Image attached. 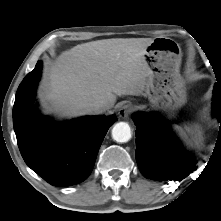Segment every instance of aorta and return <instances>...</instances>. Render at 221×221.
Returning <instances> with one entry per match:
<instances>
[{
    "label": "aorta",
    "instance_id": "762f6f07",
    "mask_svg": "<svg viewBox=\"0 0 221 221\" xmlns=\"http://www.w3.org/2000/svg\"><path fill=\"white\" fill-rule=\"evenodd\" d=\"M112 138L117 142H127L131 138V128L126 122L116 123L112 129Z\"/></svg>",
    "mask_w": 221,
    "mask_h": 221
}]
</instances>
